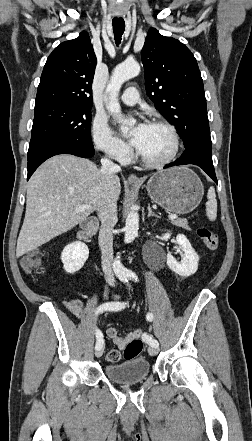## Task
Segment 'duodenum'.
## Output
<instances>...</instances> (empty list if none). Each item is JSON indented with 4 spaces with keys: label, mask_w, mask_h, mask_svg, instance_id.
I'll return each instance as SVG.
<instances>
[{
    "label": "duodenum",
    "mask_w": 252,
    "mask_h": 441,
    "mask_svg": "<svg viewBox=\"0 0 252 441\" xmlns=\"http://www.w3.org/2000/svg\"><path fill=\"white\" fill-rule=\"evenodd\" d=\"M98 227L99 221L96 218L89 219L79 230L77 235L78 239L87 240L97 231Z\"/></svg>",
    "instance_id": "1"
}]
</instances>
